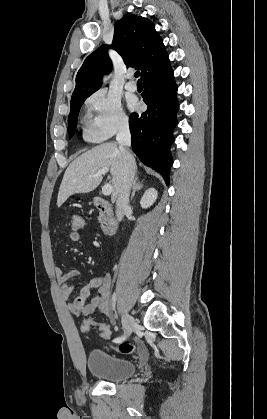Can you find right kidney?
<instances>
[{
    "mask_svg": "<svg viewBox=\"0 0 267 419\" xmlns=\"http://www.w3.org/2000/svg\"><path fill=\"white\" fill-rule=\"evenodd\" d=\"M158 192L155 188H149L145 191L144 195L140 200V205L142 208H149L157 199Z\"/></svg>",
    "mask_w": 267,
    "mask_h": 419,
    "instance_id": "1",
    "label": "right kidney"
}]
</instances>
